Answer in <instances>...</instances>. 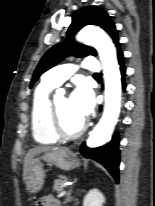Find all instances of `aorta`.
Segmentation results:
<instances>
[{"label": "aorta", "instance_id": "762f6f07", "mask_svg": "<svg viewBox=\"0 0 155 206\" xmlns=\"http://www.w3.org/2000/svg\"><path fill=\"white\" fill-rule=\"evenodd\" d=\"M77 39L95 47L103 66L105 80V107L102 118L87 140L88 147H99L111 139L118 121L121 107V75L116 57V50L111 39L94 27L83 28Z\"/></svg>", "mask_w": 155, "mask_h": 206}]
</instances>
